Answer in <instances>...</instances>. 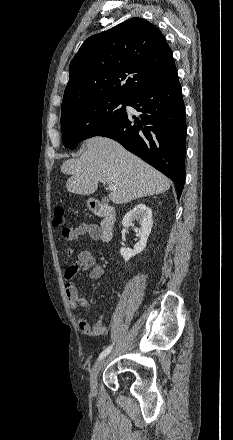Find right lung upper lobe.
I'll use <instances>...</instances> for the list:
<instances>
[{"instance_id": "1", "label": "right lung upper lobe", "mask_w": 233, "mask_h": 440, "mask_svg": "<svg viewBox=\"0 0 233 440\" xmlns=\"http://www.w3.org/2000/svg\"><path fill=\"white\" fill-rule=\"evenodd\" d=\"M174 69L172 51L158 28L129 19L85 40L70 63L62 108L94 98L129 99Z\"/></svg>"}]
</instances>
